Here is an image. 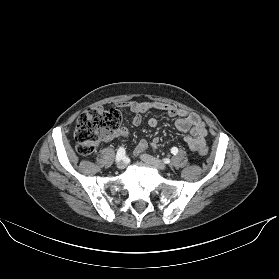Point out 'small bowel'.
Instances as JSON below:
<instances>
[{
	"instance_id": "1",
	"label": "small bowel",
	"mask_w": 279,
	"mask_h": 279,
	"mask_svg": "<svg viewBox=\"0 0 279 279\" xmlns=\"http://www.w3.org/2000/svg\"><path fill=\"white\" fill-rule=\"evenodd\" d=\"M117 106L120 108H128L132 113V123L135 126H139L142 123L141 114L150 110H161L164 111L170 117H177L175 122L176 128L181 132H190V135L184 137V140L188 147L192 151H198L201 147H206L207 129L205 123L201 118L194 114L189 113L185 110L178 109L177 107L169 104H163L158 102H119ZM158 121L156 118L151 117L148 119V125L151 128L156 127ZM118 136L126 138L128 135V129L123 127L119 130ZM159 139L154 138L151 142V146L156 148L158 146ZM147 148V142L145 140L140 141L135 153L139 154L145 151Z\"/></svg>"
}]
</instances>
